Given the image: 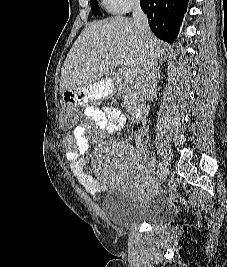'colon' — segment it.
I'll list each match as a JSON object with an SVG mask.
<instances>
[{
    "mask_svg": "<svg viewBox=\"0 0 227 267\" xmlns=\"http://www.w3.org/2000/svg\"><path fill=\"white\" fill-rule=\"evenodd\" d=\"M71 105L76 104H66L61 112V130H70V126L74 124L76 119H81V114H77V110H70Z\"/></svg>",
    "mask_w": 227,
    "mask_h": 267,
    "instance_id": "1",
    "label": "colon"
}]
</instances>
